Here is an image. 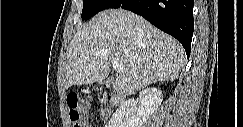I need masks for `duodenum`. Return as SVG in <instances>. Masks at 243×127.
Masks as SVG:
<instances>
[{
  "mask_svg": "<svg viewBox=\"0 0 243 127\" xmlns=\"http://www.w3.org/2000/svg\"><path fill=\"white\" fill-rule=\"evenodd\" d=\"M110 101L113 109H116L124 103L125 97L121 94H114L111 96Z\"/></svg>",
  "mask_w": 243,
  "mask_h": 127,
  "instance_id": "obj_1",
  "label": "duodenum"
}]
</instances>
